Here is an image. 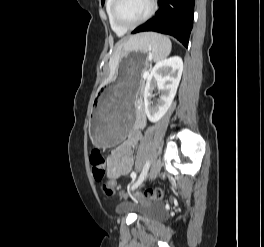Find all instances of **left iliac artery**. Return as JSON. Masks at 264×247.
I'll return each instance as SVG.
<instances>
[{"label":"left iliac artery","mask_w":264,"mask_h":247,"mask_svg":"<svg viewBox=\"0 0 264 247\" xmlns=\"http://www.w3.org/2000/svg\"><path fill=\"white\" fill-rule=\"evenodd\" d=\"M149 167H150V161H147L145 166L143 167V170H142L138 180L130 187V189H132V190L136 189L143 182V180L145 179V177L147 175ZM133 176L135 177L136 174H133Z\"/></svg>","instance_id":"obj_1"}]
</instances>
